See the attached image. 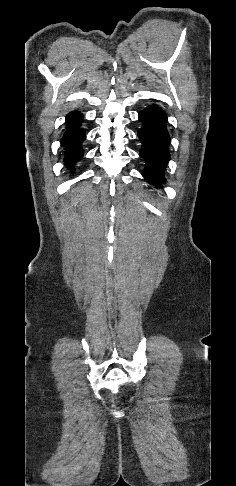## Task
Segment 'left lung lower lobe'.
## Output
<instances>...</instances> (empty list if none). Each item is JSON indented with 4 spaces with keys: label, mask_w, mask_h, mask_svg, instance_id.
Wrapping results in <instances>:
<instances>
[{
    "label": "left lung lower lobe",
    "mask_w": 236,
    "mask_h": 486,
    "mask_svg": "<svg viewBox=\"0 0 236 486\" xmlns=\"http://www.w3.org/2000/svg\"><path fill=\"white\" fill-rule=\"evenodd\" d=\"M139 120L143 123L138 131L142 143L139 154L146 162L142 175L148 183L160 187L165 183L164 170L170 160L167 115L156 104L148 105L139 113Z\"/></svg>",
    "instance_id": "1"
}]
</instances>
